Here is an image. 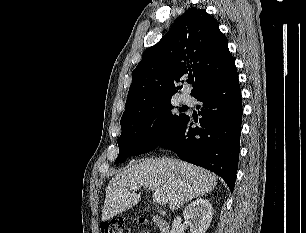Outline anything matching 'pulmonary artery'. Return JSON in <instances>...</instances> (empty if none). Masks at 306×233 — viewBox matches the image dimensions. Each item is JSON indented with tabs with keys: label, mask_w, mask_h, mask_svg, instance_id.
Returning a JSON list of instances; mask_svg holds the SVG:
<instances>
[{
	"label": "pulmonary artery",
	"mask_w": 306,
	"mask_h": 233,
	"mask_svg": "<svg viewBox=\"0 0 306 233\" xmlns=\"http://www.w3.org/2000/svg\"><path fill=\"white\" fill-rule=\"evenodd\" d=\"M180 100L183 104H187V105L192 104L193 102L192 97L187 92H184L181 94Z\"/></svg>",
	"instance_id": "e3ab8cb5"
}]
</instances>
